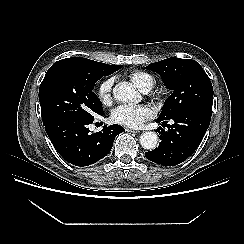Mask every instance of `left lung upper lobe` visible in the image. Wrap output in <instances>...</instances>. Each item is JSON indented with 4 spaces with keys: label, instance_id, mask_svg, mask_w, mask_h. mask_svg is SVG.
Returning a JSON list of instances; mask_svg holds the SVG:
<instances>
[{
    "label": "left lung upper lobe",
    "instance_id": "1",
    "mask_svg": "<svg viewBox=\"0 0 244 244\" xmlns=\"http://www.w3.org/2000/svg\"><path fill=\"white\" fill-rule=\"evenodd\" d=\"M146 68L160 74L167 88L173 92L164 102L158 118L168 119L188 109L212 112L213 87L195 60L173 57L149 64Z\"/></svg>",
    "mask_w": 244,
    "mask_h": 244
}]
</instances>
